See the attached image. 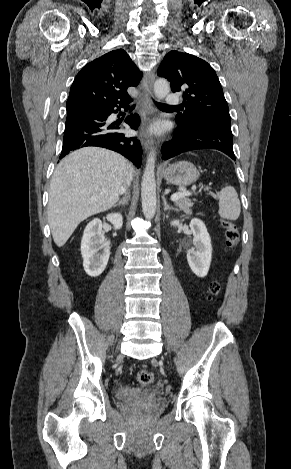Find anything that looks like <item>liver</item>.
<instances>
[{"label":"liver","mask_w":291,"mask_h":469,"mask_svg":"<svg viewBox=\"0 0 291 469\" xmlns=\"http://www.w3.org/2000/svg\"><path fill=\"white\" fill-rule=\"evenodd\" d=\"M130 172L134 169L126 158L104 148H81L65 157L49 190L47 213L55 244L62 247L83 220L114 206Z\"/></svg>","instance_id":"obj_1"}]
</instances>
